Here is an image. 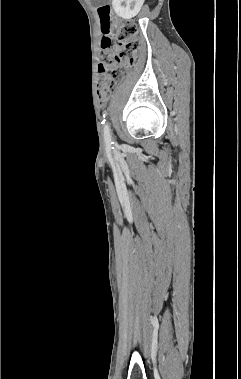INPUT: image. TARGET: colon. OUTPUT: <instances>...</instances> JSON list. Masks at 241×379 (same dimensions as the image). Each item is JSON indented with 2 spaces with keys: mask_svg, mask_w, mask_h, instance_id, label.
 I'll return each mask as SVG.
<instances>
[{
  "mask_svg": "<svg viewBox=\"0 0 241 379\" xmlns=\"http://www.w3.org/2000/svg\"><path fill=\"white\" fill-rule=\"evenodd\" d=\"M105 36L102 39V60L98 66V93L106 99L116 88L126 70L135 63L138 51V28L134 23L114 22L111 5L98 8Z\"/></svg>",
  "mask_w": 241,
  "mask_h": 379,
  "instance_id": "1",
  "label": "colon"
}]
</instances>
